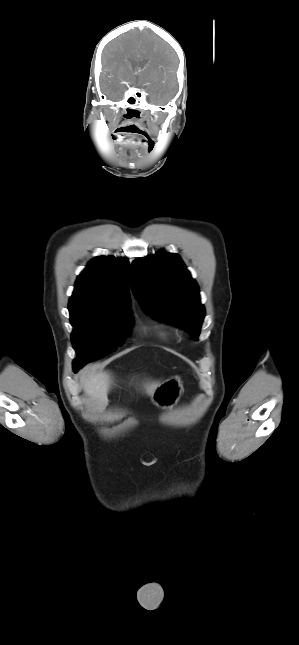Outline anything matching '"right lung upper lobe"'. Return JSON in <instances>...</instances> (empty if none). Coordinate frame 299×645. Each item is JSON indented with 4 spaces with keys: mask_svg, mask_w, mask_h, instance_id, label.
<instances>
[{
    "mask_svg": "<svg viewBox=\"0 0 299 645\" xmlns=\"http://www.w3.org/2000/svg\"><path fill=\"white\" fill-rule=\"evenodd\" d=\"M128 271L124 258L96 257L78 276L69 307L129 309Z\"/></svg>",
    "mask_w": 299,
    "mask_h": 645,
    "instance_id": "obj_1",
    "label": "right lung upper lobe"
}]
</instances>
